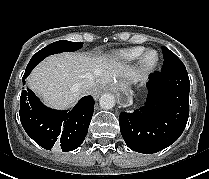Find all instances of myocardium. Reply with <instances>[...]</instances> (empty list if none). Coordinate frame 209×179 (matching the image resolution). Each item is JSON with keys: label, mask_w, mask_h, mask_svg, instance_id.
Listing matches in <instances>:
<instances>
[{"label": "myocardium", "mask_w": 209, "mask_h": 179, "mask_svg": "<svg viewBox=\"0 0 209 179\" xmlns=\"http://www.w3.org/2000/svg\"><path fill=\"white\" fill-rule=\"evenodd\" d=\"M150 54H154L155 58L150 61L148 59ZM160 62V55L157 50L155 49H147L145 50L139 58V67L143 71H152L154 70Z\"/></svg>", "instance_id": "f54148a6"}]
</instances>
